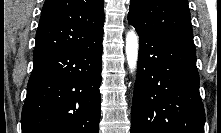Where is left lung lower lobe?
I'll use <instances>...</instances> for the list:
<instances>
[{
    "label": "left lung lower lobe",
    "mask_w": 221,
    "mask_h": 133,
    "mask_svg": "<svg viewBox=\"0 0 221 133\" xmlns=\"http://www.w3.org/2000/svg\"><path fill=\"white\" fill-rule=\"evenodd\" d=\"M138 35L131 133H204L194 44L152 33Z\"/></svg>",
    "instance_id": "0a47b994"
}]
</instances>
